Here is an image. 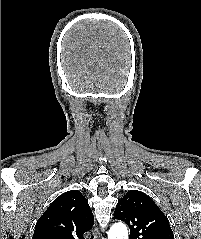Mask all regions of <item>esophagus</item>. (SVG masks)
Here are the masks:
<instances>
[{
  "instance_id": "1",
  "label": "esophagus",
  "mask_w": 201,
  "mask_h": 239,
  "mask_svg": "<svg viewBox=\"0 0 201 239\" xmlns=\"http://www.w3.org/2000/svg\"><path fill=\"white\" fill-rule=\"evenodd\" d=\"M96 239H104L101 233L98 231V229L96 231Z\"/></svg>"
}]
</instances>
